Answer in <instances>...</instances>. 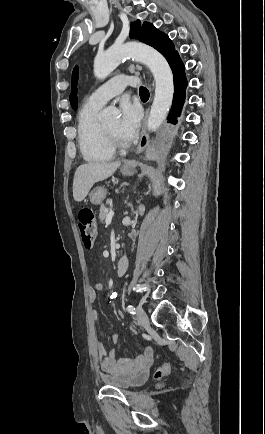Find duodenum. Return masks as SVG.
I'll return each mask as SVG.
<instances>
[{
	"label": "duodenum",
	"mask_w": 265,
	"mask_h": 434,
	"mask_svg": "<svg viewBox=\"0 0 265 434\" xmlns=\"http://www.w3.org/2000/svg\"><path fill=\"white\" fill-rule=\"evenodd\" d=\"M128 263H129V256L128 255H123L117 260L116 267H115V276L116 277H121L126 273Z\"/></svg>",
	"instance_id": "410a0bca"
}]
</instances>
